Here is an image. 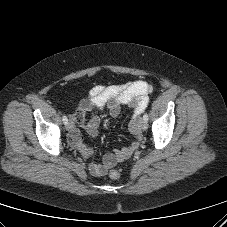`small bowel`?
Returning a JSON list of instances; mask_svg holds the SVG:
<instances>
[{"instance_id":"c3829d8e","label":"small bowel","mask_w":227,"mask_h":227,"mask_svg":"<svg viewBox=\"0 0 227 227\" xmlns=\"http://www.w3.org/2000/svg\"><path fill=\"white\" fill-rule=\"evenodd\" d=\"M151 91L152 86L145 81H135L124 85H97L92 88L87 98L79 102L74 119L80 127L93 137L98 133L101 120L96 116L86 121L85 114L89 109L103 110L106 108L111 117H117L122 106H132L133 108V117L129 123V130L134 137L133 141L125 147L117 149L114 153L106 154L102 163H90L88 168L92 175H104L109 168L129 158L139 147L142 137L137 118L147 107L148 94ZM69 142L78 149L84 158L91 155V148L83 141L78 129L74 128L70 131Z\"/></svg>"}]
</instances>
